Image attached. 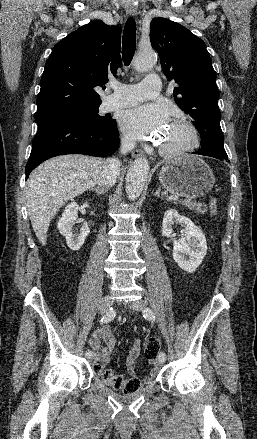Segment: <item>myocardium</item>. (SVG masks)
Listing matches in <instances>:
<instances>
[{"label": "myocardium", "mask_w": 257, "mask_h": 439, "mask_svg": "<svg viewBox=\"0 0 257 439\" xmlns=\"http://www.w3.org/2000/svg\"><path fill=\"white\" fill-rule=\"evenodd\" d=\"M171 124L181 126L185 128L189 134V143L176 147V148H168L164 146H159V152L161 155L168 158H176L182 157L190 152L196 150L199 146V135L195 126L185 119H175Z\"/></svg>", "instance_id": "1"}]
</instances>
